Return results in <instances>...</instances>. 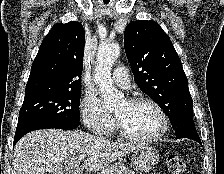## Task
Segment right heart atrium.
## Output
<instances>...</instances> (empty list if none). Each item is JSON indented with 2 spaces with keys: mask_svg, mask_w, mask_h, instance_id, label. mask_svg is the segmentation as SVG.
Wrapping results in <instances>:
<instances>
[{
  "mask_svg": "<svg viewBox=\"0 0 224 174\" xmlns=\"http://www.w3.org/2000/svg\"><path fill=\"white\" fill-rule=\"evenodd\" d=\"M81 116L86 127L97 135L106 136L114 128L113 118L94 93H87L84 96L81 102Z\"/></svg>",
  "mask_w": 224,
  "mask_h": 174,
  "instance_id": "1",
  "label": "right heart atrium"
}]
</instances>
